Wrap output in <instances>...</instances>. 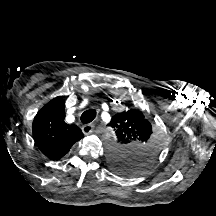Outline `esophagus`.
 <instances>
[{
	"mask_svg": "<svg viewBox=\"0 0 216 216\" xmlns=\"http://www.w3.org/2000/svg\"><path fill=\"white\" fill-rule=\"evenodd\" d=\"M94 127L95 125L94 124H86L82 127V131L84 134L88 135V134H92L93 131H94Z\"/></svg>",
	"mask_w": 216,
	"mask_h": 216,
	"instance_id": "1",
	"label": "esophagus"
}]
</instances>
